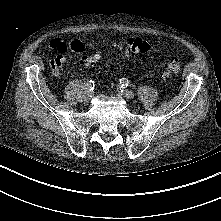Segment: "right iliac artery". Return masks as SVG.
<instances>
[{
	"label": "right iliac artery",
	"instance_id": "82829eb1",
	"mask_svg": "<svg viewBox=\"0 0 221 221\" xmlns=\"http://www.w3.org/2000/svg\"><path fill=\"white\" fill-rule=\"evenodd\" d=\"M85 85V89L89 90V91H92L94 89V81L93 80H88L84 83Z\"/></svg>",
	"mask_w": 221,
	"mask_h": 221
}]
</instances>
